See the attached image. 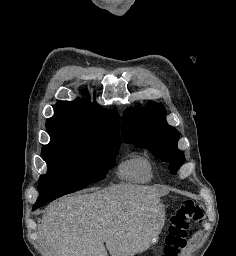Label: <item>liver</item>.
<instances>
[{
	"label": "liver",
	"mask_w": 236,
	"mask_h": 256,
	"mask_svg": "<svg viewBox=\"0 0 236 256\" xmlns=\"http://www.w3.org/2000/svg\"><path fill=\"white\" fill-rule=\"evenodd\" d=\"M90 192L60 198L45 210L38 228L43 256H133L148 248L147 204L162 196L160 190L116 184Z\"/></svg>",
	"instance_id": "obj_1"
}]
</instances>
